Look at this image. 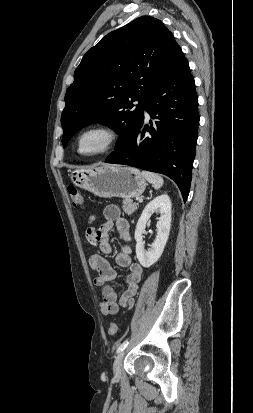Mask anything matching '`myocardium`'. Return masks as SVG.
I'll return each mask as SVG.
<instances>
[{
	"mask_svg": "<svg viewBox=\"0 0 253 413\" xmlns=\"http://www.w3.org/2000/svg\"><path fill=\"white\" fill-rule=\"evenodd\" d=\"M93 131H98V132L103 133L106 136L105 143L99 150L95 152L83 153L80 150V141L85 134L89 132H93ZM120 138L121 136L118 130L114 128L113 126H111L110 124L103 123V122L93 123V124H90L84 127L77 134L76 139H75L76 151L78 152V154L84 157H94V156L103 155L105 153H108L114 150L118 146L120 142Z\"/></svg>",
	"mask_w": 253,
	"mask_h": 413,
	"instance_id": "myocardium-1",
	"label": "myocardium"
}]
</instances>
